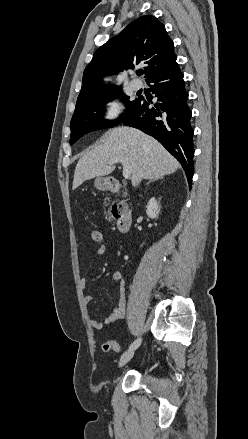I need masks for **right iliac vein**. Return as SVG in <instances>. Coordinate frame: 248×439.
<instances>
[{"instance_id": "obj_1", "label": "right iliac vein", "mask_w": 248, "mask_h": 439, "mask_svg": "<svg viewBox=\"0 0 248 439\" xmlns=\"http://www.w3.org/2000/svg\"><path fill=\"white\" fill-rule=\"evenodd\" d=\"M135 349L127 350L120 358L118 367H123L126 363H128L134 356Z\"/></svg>"}]
</instances>
